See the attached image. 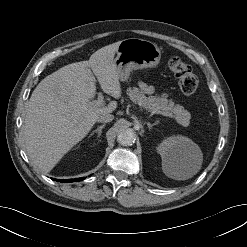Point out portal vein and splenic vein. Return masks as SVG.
Segmentation results:
<instances>
[{"label": "portal vein and splenic vein", "instance_id": "portal-vein-and-splenic-vein-1", "mask_svg": "<svg viewBox=\"0 0 247 247\" xmlns=\"http://www.w3.org/2000/svg\"><path fill=\"white\" fill-rule=\"evenodd\" d=\"M93 103L96 106H103L104 105V97H103V95L101 93H99L97 100H94ZM154 113L155 114H160V115H163V116H169V117H171V113H168V112L156 111Z\"/></svg>", "mask_w": 247, "mask_h": 247}]
</instances>
